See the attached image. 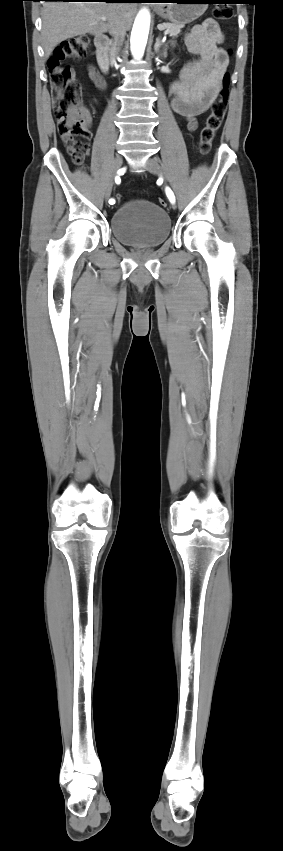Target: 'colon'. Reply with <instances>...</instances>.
<instances>
[{"label":"colon","mask_w":283,"mask_h":851,"mask_svg":"<svg viewBox=\"0 0 283 851\" xmlns=\"http://www.w3.org/2000/svg\"><path fill=\"white\" fill-rule=\"evenodd\" d=\"M213 14L219 20H228L233 16V11L228 5H220L215 7ZM89 43L86 35L72 37L63 41L48 60L58 133L66 144H75L80 140L79 146L70 150L72 160L77 165L83 163L85 154L90 149L91 133L88 117L82 107L80 86L74 77L73 68L65 61L84 57ZM228 85L229 79L225 76L219 96L200 133L199 149L202 154L210 151L212 142L223 123L227 110ZM159 203L162 206L166 205L164 199H159Z\"/></svg>","instance_id":"5ec220e1"}]
</instances>
